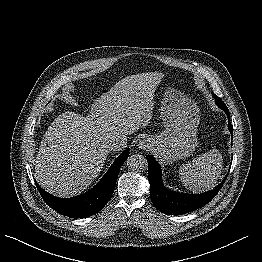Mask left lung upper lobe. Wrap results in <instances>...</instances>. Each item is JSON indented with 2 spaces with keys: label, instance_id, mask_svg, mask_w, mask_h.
Masks as SVG:
<instances>
[{
  "label": "left lung upper lobe",
  "instance_id": "5c2ea615",
  "mask_svg": "<svg viewBox=\"0 0 262 262\" xmlns=\"http://www.w3.org/2000/svg\"><path fill=\"white\" fill-rule=\"evenodd\" d=\"M214 97H215V100H216V104H217L219 107L227 108V106L224 104V102L222 101L221 98H219V97L216 96L215 94H214Z\"/></svg>",
  "mask_w": 262,
  "mask_h": 262
}]
</instances>
